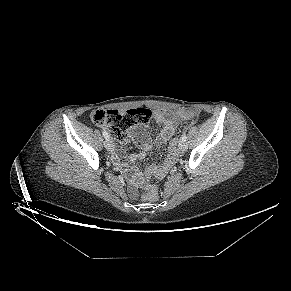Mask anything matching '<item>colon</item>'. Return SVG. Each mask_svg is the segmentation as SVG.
<instances>
[{"instance_id":"obj_1","label":"colon","mask_w":291,"mask_h":291,"mask_svg":"<svg viewBox=\"0 0 291 291\" xmlns=\"http://www.w3.org/2000/svg\"><path fill=\"white\" fill-rule=\"evenodd\" d=\"M176 116L182 119H192L196 118L197 114L191 110H180ZM150 117L149 109L137 108L127 111L99 110L92 114L91 119L95 124L104 126L114 140L123 142L134 127L147 123ZM157 197L156 187L146 185L143 198L147 201H154Z\"/></svg>"}]
</instances>
